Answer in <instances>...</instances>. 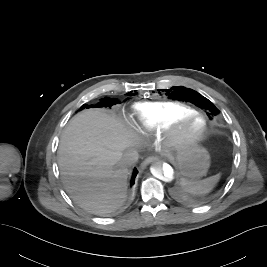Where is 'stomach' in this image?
Returning <instances> with one entry per match:
<instances>
[{
  "instance_id": "stomach-1",
  "label": "stomach",
  "mask_w": 267,
  "mask_h": 267,
  "mask_svg": "<svg viewBox=\"0 0 267 267\" xmlns=\"http://www.w3.org/2000/svg\"><path fill=\"white\" fill-rule=\"evenodd\" d=\"M176 163L184 177L196 181L206 175L210 166V156L205 148L185 145L178 150Z\"/></svg>"
}]
</instances>
